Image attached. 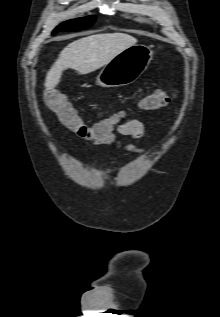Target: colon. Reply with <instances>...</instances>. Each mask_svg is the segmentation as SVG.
<instances>
[{"label": "colon", "instance_id": "5ec220e1", "mask_svg": "<svg viewBox=\"0 0 220 317\" xmlns=\"http://www.w3.org/2000/svg\"><path fill=\"white\" fill-rule=\"evenodd\" d=\"M176 94L177 90L174 87L168 90H156L141 99L140 107L145 111L160 109L169 104L176 97ZM44 100L68 129L75 133L86 130L88 125L80 117L65 94L56 90H47L44 93ZM120 123H122L120 116L113 115L93 125L96 127L97 134L106 135L112 132Z\"/></svg>", "mask_w": 220, "mask_h": 317}]
</instances>
